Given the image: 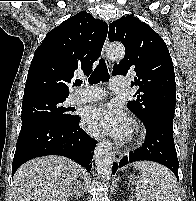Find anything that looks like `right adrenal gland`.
I'll use <instances>...</instances> for the list:
<instances>
[{"mask_svg":"<svg viewBox=\"0 0 196 201\" xmlns=\"http://www.w3.org/2000/svg\"><path fill=\"white\" fill-rule=\"evenodd\" d=\"M82 193H83V188H82V185H81V182H76V187H74V189L72 190L71 192V196L75 195L76 198L82 196Z\"/></svg>","mask_w":196,"mask_h":201,"instance_id":"right-adrenal-gland-1","label":"right adrenal gland"}]
</instances>
